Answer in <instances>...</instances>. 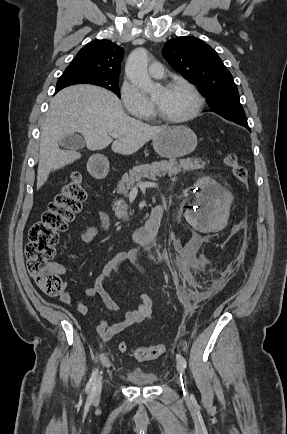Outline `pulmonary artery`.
Listing matches in <instances>:
<instances>
[{"label": "pulmonary artery", "mask_w": 287, "mask_h": 434, "mask_svg": "<svg viewBox=\"0 0 287 434\" xmlns=\"http://www.w3.org/2000/svg\"><path fill=\"white\" fill-rule=\"evenodd\" d=\"M149 75L153 78H162L164 76V68L162 66L161 63L159 62H153L150 66H149Z\"/></svg>", "instance_id": "obj_1"}]
</instances>
